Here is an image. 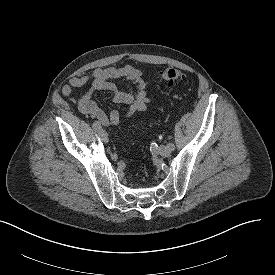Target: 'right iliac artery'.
I'll use <instances>...</instances> for the list:
<instances>
[{"instance_id": "obj_1", "label": "right iliac artery", "mask_w": 275, "mask_h": 275, "mask_svg": "<svg viewBox=\"0 0 275 275\" xmlns=\"http://www.w3.org/2000/svg\"><path fill=\"white\" fill-rule=\"evenodd\" d=\"M93 129L96 130V131H98V130L101 129V125H100V123L98 121H95L93 123Z\"/></svg>"}]
</instances>
